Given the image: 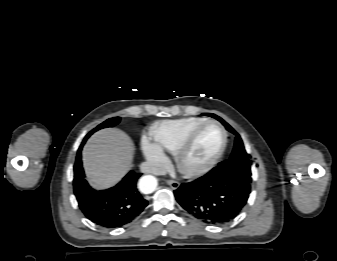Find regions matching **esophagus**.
<instances>
[{
	"label": "esophagus",
	"mask_w": 337,
	"mask_h": 261,
	"mask_svg": "<svg viewBox=\"0 0 337 261\" xmlns=\"http://www.w3.org/2000/svg\"><path fill=\"white\" fill-rule=\"evenodd\" d=\"M167 184L174 190L178 189L180 186V183L174 180H167Z\"/></svg>",
	"instance_id": "obj_1"
}]
</instances>
